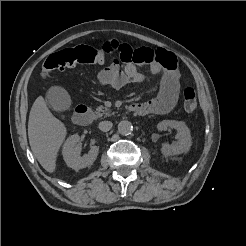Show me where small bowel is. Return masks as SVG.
<instances>
[{"label": "small bowel", "mask_w": 246, "mask_h": 246, "mask_svg": "<svg viewBox=\"0 0 246 246\" xmlns=\"http://www.w3.org/2000/svg\"><path fill=\"white\" fill-rule=\"evenodd\" d=\"M104 54L114 56L113 62L98 74L101 85L120 89L130 83H142L147 75L137 65H148L149 74L162 73L160 90L154 98L135 103V112L141 115L169 113L177 104L180 92V74L176 56L165 49H133L129 44L108 40L102 46Z\"/></svg>", "instance_id": "1"}]
</instances>
